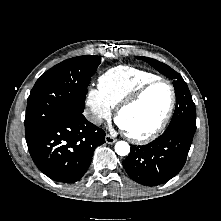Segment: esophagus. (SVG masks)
<instances>
[{
	"instance_id": "34e87169",
	"label": "esophagus",
	"mask_w": 221,
	"mask_h": 221,
	"mask_svg": "<svg viewBox=\"0 0 221 221\" xmlns=\"http://www.w3.org/2000/svg\"><path fill=\"white\" fill-rule=\"evenodd\" d=\"M105 141H106V143H108V144H113V143H115L117 140H116L114 137H112L111 135L107 134V135L105 136Z\"/></svg>"
}]
</instances>
